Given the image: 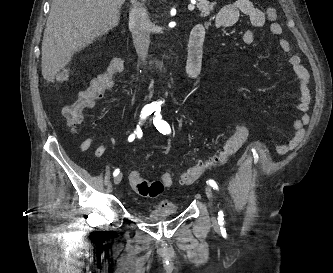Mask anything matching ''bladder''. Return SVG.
Segmentation results:
<instances>
[{
	"label": "bladder",
	"mask_w": 333,
	"mask_h": 273,
	"mask_svg": "<svg viewBox=\"0 0 333 273\" xmlns=\"http://www.w3.org/2000/svg\"><path fill=\"white\" fill-rule=\"evenodd\" d=\"M178 210L171 204H155L148 208L145 215L139 216L152 222H162L177 215Z\"/></svg>",
	"instance_id": "bladder-1"
}]
</instances>
